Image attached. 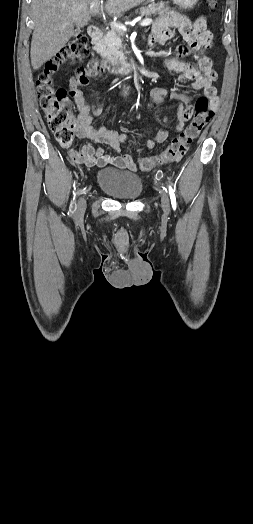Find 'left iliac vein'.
<instances>
[{
  "mask_svg": "<svg viewBox=\"0 0 253 524\" xmlns=\"http://www.w3.org/2000/svg\"><path fill=\"white\" fill-rule=\"evenodd\" d=\"M161 205H162L163 211L165 213H168L170 209V200H169L168 195L165 192H163L162 197H161Z\"/></svg>",
  "mask_w": 253,
  "mask_h": 524,
  "instance_id": "4c4485c4",
  "label": "left iliac vein"
}]
</instances>
